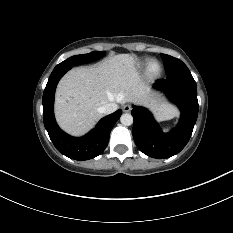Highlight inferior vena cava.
Wrapping results in <instances>:
<instances>
[{"instance_id":"602c4592","label":"inferior vena cava","mask_w":233,"mask_h":233,"mask_svg":"<svg viewBox=\"0 0 233 233\" xmlns=\"http://www.w3.org/2000/svg\"><path fill=\"white\" fill-rule=\"evenodd\" d=\"M118 109V105L116 103H108L104 106H101L98 111L101 114H111Z\"/></svg>"}]
</instances>
